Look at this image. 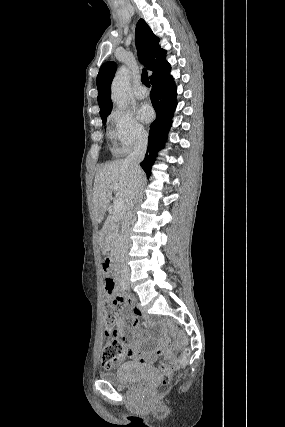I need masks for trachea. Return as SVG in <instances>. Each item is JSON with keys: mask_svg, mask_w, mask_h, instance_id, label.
<instances>
[{"mask_svg": "<svg viewBox=\"0 0 285 427\" xmlns=\"http://www.w3.org/2000/svg\"><path fill=\"white\" fill-rule=\"evenodd\" d=\"M141 80L146 87H150L149 77L145 69L142 71Z\"/></svg>", "mask_w": 285, "mask_h": 427, "instance_id": "trachea-1", "label": "trachea"}]
</instances>
